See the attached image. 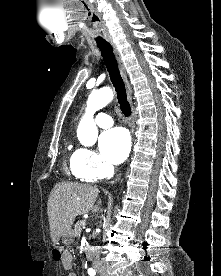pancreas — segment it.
Returning <instances> with one entry per match:
<instances>
[{
  "instance_id": "1",
  "label": "pancreas",
  "mask_w": 221,
  "mask_h": 276,
  "mask_svg": "<svg viewBox=\"0 0 221 276\" xmlns=\"http://www.w3.org/2000/svg\"><path fill=\"white\" fill-rule=\"evenodd\" d=\"M84 226H85V224L83 223V221H78L75 224V235H76V237H78V238L80 237L81 230Z\"/></svg>"
}]
</instances>
